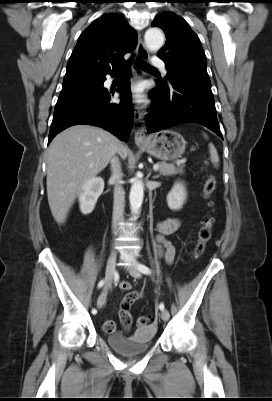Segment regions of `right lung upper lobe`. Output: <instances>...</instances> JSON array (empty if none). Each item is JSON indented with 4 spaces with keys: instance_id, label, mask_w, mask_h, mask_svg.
Here are the masks:
<instances>
[{
    "instance_id": "obj_1",
    "label": "right lung upper lobe",
    "mask_w": 272,
    "mask_h": 401,
    "mask_svg": "<svg viewBox=\"0 0 272 401\" xmlns=\"http://www.w3.org/2000/svg\"><path fill=\"white\" fill-rule=\"evenodd\" d=\"M137 45V34L119 14H104L80 35L67 64L62 90L106 79ZM111 67L114 70H111Z\"/></svg>"
}]
</instances>
